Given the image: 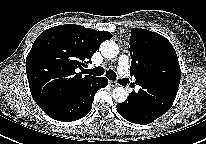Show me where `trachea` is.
I'll return each instance as SVG.
<instances>
[{"instance_id": "1", "label": "trachea", "mask_w": 206, "mask_h": 144, "mask_svg": "<svg viewBox=\"0 0 206 144\" xmlns=\"http://www.w3.org/2000/svg\"><path fill=\"white\" fill-rule=\"evenodd\" d=\"M85 74H89V75H93V76H101L105 73V70L103 67H96V68H93V69H87L84 71ZM106 76L108 79L110 80H116V73L112 70H108L106 71Z\"/></svg>"}]
</instances>
